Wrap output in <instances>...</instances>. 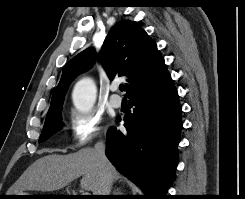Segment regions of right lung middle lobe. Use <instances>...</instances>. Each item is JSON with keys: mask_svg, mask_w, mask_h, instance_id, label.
<instances>
[{"mask_svg": "<svg viewBox=\"0 0 245 199\" xmlns=\"http://www.w3.org/2000/svg\"><path fill=\"white\" fill-rule=\"evenodd\" d=\"M62 108L54 114L46 116L45 124L40 135L39 142H43L50 138L53 134L62 128L61 112Z\"/></svg>", "mask_w": 245, "mask_h": 199, "instance_id": "1", "label": "right lung middle lobe"}]
</instances>
